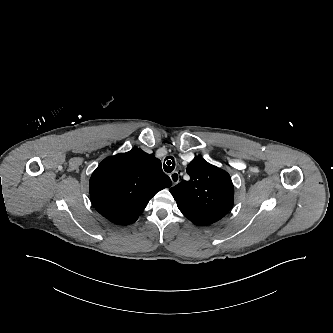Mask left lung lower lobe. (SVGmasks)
I'll return each mask as SVG.
<instances>
[{
    "instance_id": "obj_1",
    "label": "left lung lower lobe",
    "mask_w": 333,
    "mask_h": 333,
    "mask_svg": "<svg viewBox=\"0 0 333 333\" xmlns=\"http://www.w3.org/2000/svg\"><path fill=\"white\" fill-rule=\"evenodd\" d=\"M179 210L186 216L190 221L197 225H208L214 223L223 218L228 211L224 210H197L186 206L178 207Z\"/></svg>"
}]
</instances>
